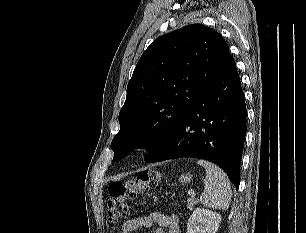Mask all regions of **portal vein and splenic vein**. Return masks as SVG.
<instances>
[{
    "label": "portal vein and splenic vein",
    "instance_id": "portal-vein-and-splenic-vein-1",
    "mask_svg": "<svg viewBox=\"0 0 306 233\" xmlns=\"http://www.w3.org/2000/svg\"><path fill=\"white\" fill-rule=\"evenodd\" d=\"M190 195H191L192 197H194V196H195V192H194V191H191V192H190Z\"/></svg>",
    "mask_w": 306,
    "mask_h": 233
}]
</instances>
